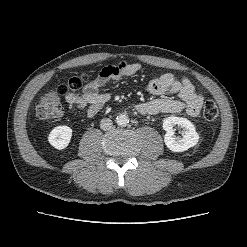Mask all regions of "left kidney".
I'll use <instances>...</instances> for the list:
<instances>
[{"instance_id":"left-kidney-1","label":"left kidney","mask_w":247,"mask_h":247,"mask_svg":"<svg viewBox=\"0 0 247 247\" xmlns=\"http://www.w3.org/2000/svg\"><path fill=\"white\" fill-rule=\"evenodd\" d=\"M183 128L182 138L175 136L174 126ZM163 129L166 131L164 142L173 152H183L198 143L199 135L192 122L186 118L170 116L164 119Z\"/></svg>"}]
</instances>
